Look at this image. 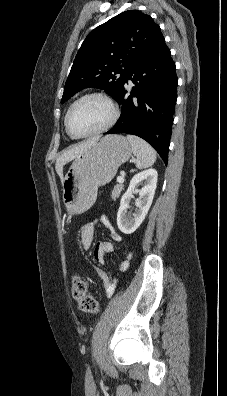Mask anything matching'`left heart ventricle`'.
Returning a JSON list of instances; mask_svg holds the SVG:
<instances>
[{
    "mask_svg": "<svg viewBox=\"0 0 227 396\" xmlns=\"http://www.w3.org/2000/svg\"><path fill=\"white\" fill-rule=\"evenodd\" d=\"M111 110L100 98H88L77 104L69 117L71 130L78 135L90 133L108 122Z\"/></svg>",
    "mask_w": 227,
    "mask_h": 396,
    "instance_id": "1",
    "label": "left heart ventricle"
}]
</instances>
